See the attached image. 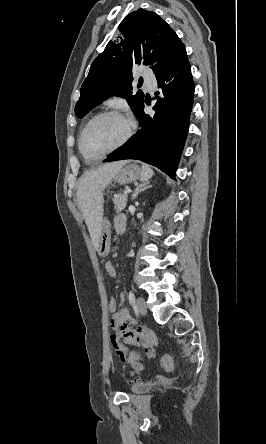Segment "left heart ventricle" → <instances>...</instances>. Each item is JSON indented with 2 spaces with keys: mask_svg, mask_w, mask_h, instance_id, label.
<instances>
[{
  "mask_svg": "<svg viewBox=\"0 0 266 444\" xmlns=\"http://www.w3.org/2000/svg\"><path fill=\"white\" fill-rule=\"evenodd\" d=\"M126 125L116 116H104L94 121L84 136V147L90 154H99L114 147L123 138Z\"/></svg>",
  "mask_w": 266,
  "mask_h": 444,
  "instance_id": "b2bd125f",
  "label": "left heart ventricle"
}]
</instances>
